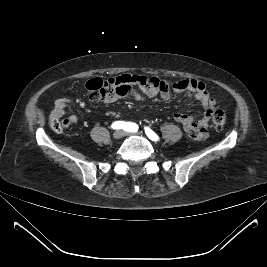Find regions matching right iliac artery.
<instances>
[{
    "label": "right iliac artery",
    "mask_w": 267,
    "mask_h": 267,
    "mask_svg": "<svg viewBox=\"0 0 267 267\" xmlns=\"http://www.w3.org/2000/svg\"><path fill=\"white\" fill-rule=\"evenodd\" d=\"M113 129H124L125 131L136 132L138 130V126L135 123L124 122V121H116L112 124Z\"/></svg>",
    "instance_id": "obj_1"
}]
</instances>
